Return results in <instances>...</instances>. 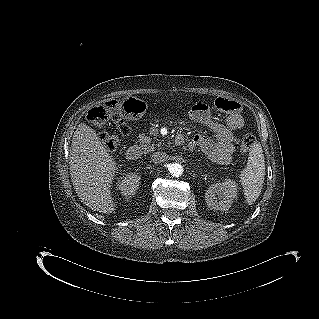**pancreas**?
Masks as SVG:
<instances>
[{"instance_id": "obj_1", "label": "pancreas", "mask_w": 319, "mask_h": 319, "mask_svg": "<svg viewBox=\"0 0 319 319\" xmlns=\"http://www.w3.org/2000/svg\"><path fill=\"white\" fill-rule=\"evenodd\" d=\"M151 138L149 136H146L144 134H141L139 136V142L141 143V147L144 151L150 152L154 150L155 144H151Z\"/></svg>"}]
</instances>
